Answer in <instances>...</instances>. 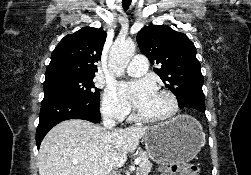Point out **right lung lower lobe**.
Instances as JSON below:
<instances>
[{"label":"right lung lower lobe","mask_w":251,"mask_h":175,"mask_svg":"<svg viewBox=\"0 0 251 175\" xmlns=\"http://www.w3.org/2000/svg\"><path fill=\"white\" fill-rule=\"evenodd\" d=\"M44 94L36 131L38 149L47 132L64 120L85 119L93 123L100 120L99 96L83 98L64 91H49Z\"/></svg>","instance_id":"1"}]
</instances>
